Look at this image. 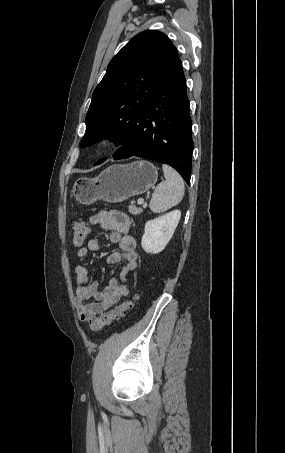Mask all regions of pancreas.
<instances>
[{
  "mask_svg": "<svg viewBox=\"0 0 285 453\" xmlns=\"http://www.w3.org/2000/svg\"><path fill=\"white\" fill-rule=\"evenodd\" d=\"M142 211L143 210L141 208H137L133 205L129 206V212L133 215H138V214L142 213Z\"/></svg>",
  "mask_w": 285,
  "mask_h": 453,
  "instance_id": "1",
  "label": "pancreas"
}]
</instances>
